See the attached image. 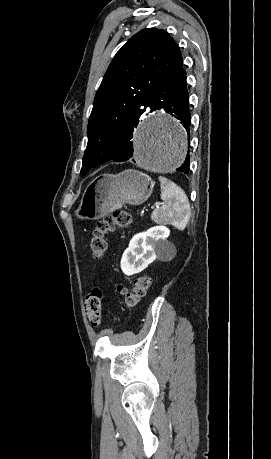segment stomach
<instances>
[{"instance_id": "0dacf381", "label": "stomach", "mask_w": 271, "mask_h": 459, "mask_svg": "<svg viewBox=\"0 0 271 459\" xmlns=\"http://www.w3.org/2000/svg\"><path fill=\"white\" fill-rule=\"evenodd\" d=\"M154 182L137 170L121 174H101L87 186L80 206L75 210L78 220H100L125 204L140 206L150 198Z\"/></svg>"}]
</instances>
